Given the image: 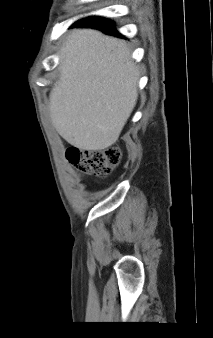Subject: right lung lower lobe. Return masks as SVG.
Segmentation results:
<instances>
[{
  "label": "right lung lower lobe",
  "instance_id": "obj_1",
  "mask_svg": "<svg viewBox=\"0 0 213 338\" xmlns=\"http://www.w3.org/2000/svg\"><path fill=\"white\" fill-rule=\"evenodd\" d=\"M73 27H91L99 29L109 35L122 37V35L115 31L113 21L101 17H89L82 19L81 21L76 22Z\"/></svg>",
  "mask_w": 213,
  "mask_h": 338
}]
</instances>
